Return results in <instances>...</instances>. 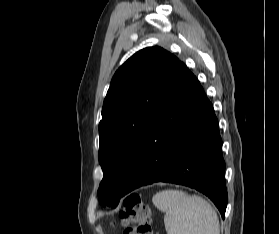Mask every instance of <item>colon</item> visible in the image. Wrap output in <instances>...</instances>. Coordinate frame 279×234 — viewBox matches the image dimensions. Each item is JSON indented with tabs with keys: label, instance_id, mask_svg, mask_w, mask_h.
<instances>
[{
	"label": "colon",
	"instance_id": "1",
	"mask_svg": "<svg viewBox=\"0 0 279 234\" xmlns=\"http://www.w3.org/2000/svg\"><path fill=\"white\" fill-rule=\"evenodd\" d=\"M123 234H152L150 212L138 195L128 196L119 215Z\"/></svg>",
	"mask_w": 279,
	"mask_h": 234
}]
</instances>
